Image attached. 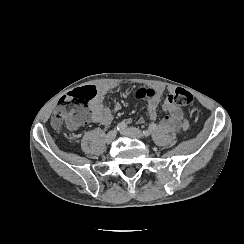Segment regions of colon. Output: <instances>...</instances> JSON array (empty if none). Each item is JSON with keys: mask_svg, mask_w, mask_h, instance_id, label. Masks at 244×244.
Returning <instances> with one entry per match:
<instances>
[{"mask_svg": "<svg viewBox=\"0 0 244 244\" xmlns=\"http://www.w3.org/2000/svg\"><path fill=\"white\" fill-rule=\"evenodd\" d=\"M95 95V88L90 83H83L78 90H72L62 98L52 116V125L65 128L70 133H77L82 124H87L92 119V112L89 109L90 100ZM168 101L174 105L188 106L193 102V95L185 88L178 87L169 95Z\"/></svg>", "mask_w": 244, "mask_h": 244, "instance_id": "1", "label": "colon"}]
</instances>
